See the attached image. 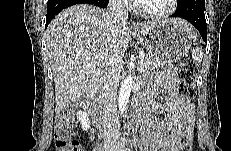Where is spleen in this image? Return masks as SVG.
Masks as SVG:
<instances>
[{
	"instance_id": "obj_1",
	"label": "spleen",
	"mask_w": 231,
	"mask_h": 151,
	"mask_svg": "<svg viewBox=\"0 0 231 151\" xmlns=\"http://www.w3.org/2000/svg\"><path fill=\"white\" fill-rule=\"evenodd\" d=\"M192 58L194 62H201L203 59V51L200 47H196L192 50Z\"/></svg>"
}]
</instances>
